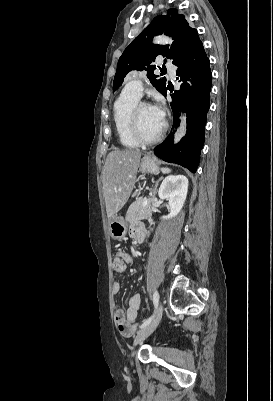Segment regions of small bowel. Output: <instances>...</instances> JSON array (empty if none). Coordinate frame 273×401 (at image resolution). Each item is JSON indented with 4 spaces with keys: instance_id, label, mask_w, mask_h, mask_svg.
Instances as JSON below:
<instances>
[{
    "instance_id": "1",
    "label": "small bowel",
    "mask_w": 273,
    "mask_h": 401,
    "mask_svg": "<svg viewBox=\"0 0 273 401\" xmlns=\"http://www.w3.org/2000/svg\"><path fill=\"white\" fill-rule=\"evenodd\" d=\"M134 239L143 240L145 231L139 225H134L130 231ZM133 262L132 256L122 250H119L112 261V268L115 273H123L128 264ZM121 282L114 280L112 283V291L117 294L121 290ZM141 310V297L139 294H133L127 304L125 310L118 309L115 312V324L118 332L123 336H130L135 329L139 313Z\"/></svg>"
}]
</instances>
